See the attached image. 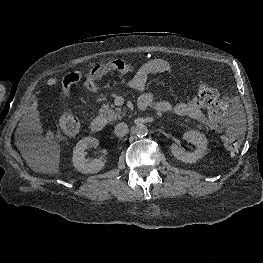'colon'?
<instances>
[{
  "instance_id": "1",
  "label": "colon",
  "mask_w": 263,
  "mask_h": 263,
  "mask_svg": "<svg viewBox=\"0 0 263 263\" xmlns=\"http://www.w3.org/2000/svg\"><path fill=\"white\" fill-rule=\"evenodd\" d=\"M115 66L119 70L130 67L129 64L126 63L125 65L118 61L115 62ZM197 98L202 106L208 110L211 117L221 119L226 115L227 104L220 99L219 94L215 89L204 83H200ZM59 125L62 131L70 136L76 135L80 129L79 120L68 111L61 113L59 117ZM241 142L242 136L237 129H230L224 137V146L230 153H237L241 146Z\"/></svg>"
}]
</instances>
